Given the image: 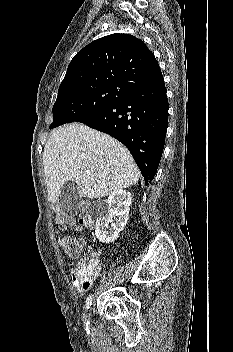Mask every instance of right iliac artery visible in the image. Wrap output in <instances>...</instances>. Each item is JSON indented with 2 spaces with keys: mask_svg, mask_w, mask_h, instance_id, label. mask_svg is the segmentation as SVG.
Here are the masks:
<instances>
[{
  "mask_svg": "<svg viewBox=\"0 0 233 352\" xmlns=\"http://www.w3.org/2000/svg\"><path fill=\"white\" fill-rule=\"evenodd\" d=\"M92 304V295H90L86 300V309H89ZM89 322H86V329H88Z\"/></svg>",
  "mask_w": 233,
  "mask_h": 352,
  "instance_id": "82829eb1",
  "label": "right iliac artery"
}]
</instances>
